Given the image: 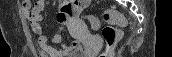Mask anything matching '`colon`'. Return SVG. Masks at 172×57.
Wrapping results in <instances>:
<instances>
[{
	"instance_id": "obj_1",
	"label": "colon",
	"mask_w": 172,
	"mask_h": 57,
	"mask_svg": "<svg viewBox=\"0 0 172 57\" xmlns=\"http://www.w3.org/2000/svg\"><path fill=\"white\" fill-rule=\"evenodd\" d=\"M72 13V11H70ZM104 20L108 23L102 29V36L106 43V50L101 52L99 57H110V51L120 38V28L124 27L126 21L121 13L115 10H105L103 12ZM92 29L100 28V21L95 16L88 17Z\"/></svg>"
}]
</instances>
